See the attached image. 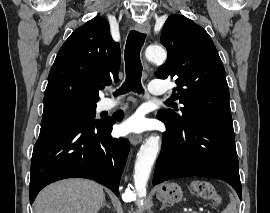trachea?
Segmentation results:
<instances>
[{"label": "trachea", "instance_id": "trachea-1", "mask_svg": "<svg viewBox=\"0 0 270 213\" xmlns=\"http://www.w3.org/2000/svg\"><path fill=\"white\" fill-rule=\"evenodd\" d=\"M146 34L135 30L129 32L125 46V67L126 79L122 87L118 89L115 96L125 94L130 91L142 93L143 87L141 84L142 64L140 60V51L145 42Z\"/></svg>", "mask_w": 270, "mask_h": 213}]
</instances>
